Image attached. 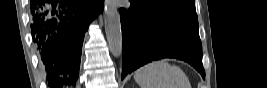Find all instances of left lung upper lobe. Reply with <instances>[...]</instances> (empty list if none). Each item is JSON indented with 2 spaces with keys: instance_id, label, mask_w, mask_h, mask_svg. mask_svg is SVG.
Here are the masks:
<instances>
[{
  "instance_id": "obj_1",
  "label": "left lung upper lobe",
  "mask_w": 267,
  "mask_h": 88,
  "mask_svg": "<svg viewBox=\"0 0 267 88\" xmlns=\"http://www.w3.org/2000/svg\"><path fill=\"white\" fill-rule=\"evenodd\" d=\"M130 3L147 18L198 25L195 0H130Z\"/></svg>"
}]
</instances>
